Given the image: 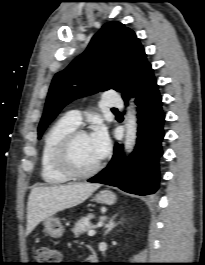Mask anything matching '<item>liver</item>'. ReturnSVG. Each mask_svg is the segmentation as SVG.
<instances>
[{
	"mask_svg": "<svg viewBox=\"0 0 205 265\" xmlns=\"http://www.w3.org/2000/svg\"><path fill=\"white\" fill-rule=\"evenodd\" d=\"M99 187L97 183L34 187L27 204V234L46 218L84 202Z\"/></svg>",
	"mask_w": 205,
	"mask_h": 265,
	"instance_id": "liver-1",
	"label": "liver"
}]
</instances>
